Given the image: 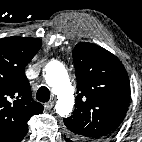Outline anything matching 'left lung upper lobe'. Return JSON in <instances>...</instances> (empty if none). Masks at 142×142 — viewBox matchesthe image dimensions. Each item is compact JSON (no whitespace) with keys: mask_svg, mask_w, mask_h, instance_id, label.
Returning <instances> with one entry per match:
<instances>
[{"mask_svg":"<svg viewBox=\"0 0 142 142\" xmlns=\"http://www.w3.org/2000/svg\"><path fill=\"white\" fill-rule=\"evenodd\" d=\"M77 98L73 115L63 119L73 141L104 142L123 121L130 83L119 59L106 49L79 43L73 50Z\"/></svg>","mask_w":142,"mask_h":142,"instance_id":"5c2ea615","label":"left lung upper lobe"}]
</instances>
